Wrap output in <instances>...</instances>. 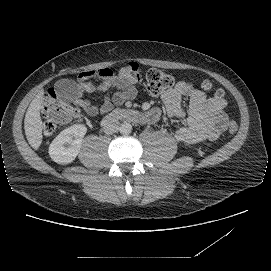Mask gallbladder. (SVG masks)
I'll list each match as a JSON object with an SVG mask.
<instances>
[{
    "label": "gallbladder",
    "instance_id": "bac80fb5",
    "mask_svg": "<svg viewBox=\"0 0 271 271\" xmlns=\"http://www.w3.org/2000/svg\"><path fill=\"white\" fill-rule=\"evenodd\" d=\"M55 96L63 104L74 102L78 96V89L72 80L61 79L55 85Z\"/></svg>",
    "mask_w": 271,
    "mask_h": 271
}]
</instances>
